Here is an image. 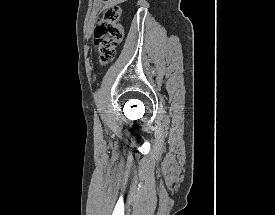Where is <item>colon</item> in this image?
<instances>
[{"label":"colon","instance_id":"obj_1","mask_svg":"<svg viewBox=\"0 0 275 215\" xmlns=\"http://www.w3.org/2000/svg\"><path fill=\"white\" fill-rule=\"evenodd\" d=\"M122 24L121 8L116 3L110 4L94 29L95 46L101 63L107 64L115 57L123 39Z\"/></svg>","mask_w":275,"mask_h":215}]
</instances>
